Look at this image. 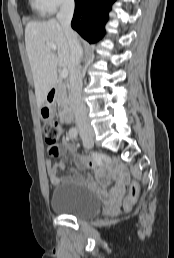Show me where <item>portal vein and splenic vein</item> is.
Masks as SVG:
<instances>
[{"label": "portal vein and splenic vein", "mask_w": 174, "mask_h": 258, "mask_svg": "<svg viewBox=\"0 0 174 258\" xmlns=\"http://www.w3.org/2000/svg\"><path fill=\"white\" fill-rule=\"evenodd\" d=\"M47 45L52 49V50H56V45L50 42H47ZM68 76V70L66 68H63L62 72H61V77L62 78H66Z\"/></svg>", "instance_id": "portal-vein-and-splenic-vein-1"}]
</instances>
